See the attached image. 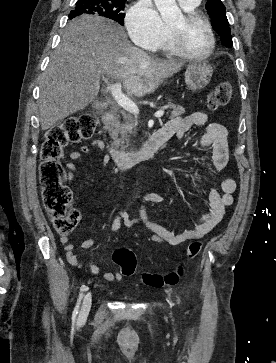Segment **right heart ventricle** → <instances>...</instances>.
Masks as SVG:
<instances>
[{
  "label": "right heart ventricle",
  "instance_id": "right-heart-ventricle-1",
  "mask_svg": "<svg viewBox=\"0 0 276 363\" xmlns=\"http://www.w3.org/2000/svg\"><path fill=\"white\" fill-rule=\"evenodd\" d=\"M165 52L170 54H176L175 51L172 49L171 42H170V30L168 29V33L164 41L160 46Z\"/></svg>",
  "mask_w": 276,
  "mask_h": 363
}]
</instances>
